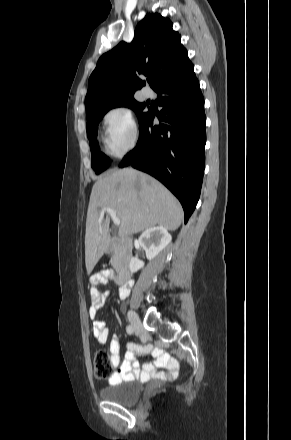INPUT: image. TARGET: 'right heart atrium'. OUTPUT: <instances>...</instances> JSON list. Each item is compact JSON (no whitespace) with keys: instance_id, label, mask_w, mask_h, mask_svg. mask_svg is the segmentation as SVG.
<instances>
[{"instance_id":"right-heart-atrium-1","label":"right heart atrium","mask_w":291,"mask_h":440,"mask_svg":"<svg viewBox=\"0 0 291 440\" xmlns=\"http://www.w3.org/2000/svg\"><path fill=\"white\" fill-rule=\"evenodd\" d=\"M104 142L115 156H123L137 143L138 131L131 110L118 106L109 110L104 118Z\"/></svg>"}]
</instances>
